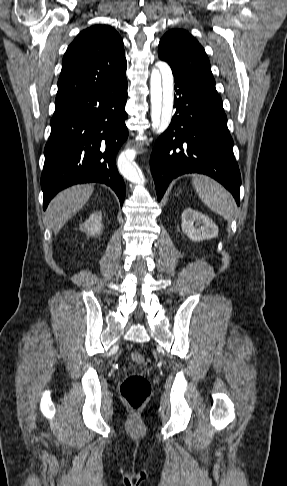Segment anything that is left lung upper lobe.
<instances>
[{"label":"left lung upper lobe","mask_w":287,"mask_h":486,"mask_svg":"<svg viewBox=\"0 0 287 486\" xmlns=\"http://www.w3.org/2000/svg\"><path fill=\"white\" fill-rule=\"evenodd\" d=\"M158 56L173 72L197 83L215 97V88L209 59L200 43L183 29H172L160 40Z\"/></svg>","instance_id":"obj_1"}]
</instances>
